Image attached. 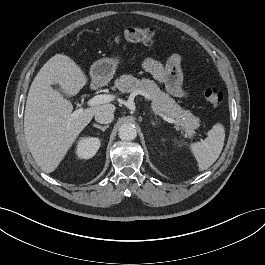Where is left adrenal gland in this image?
I'll list each match as a JSON object with an SVG mask.
<instances>
[{
  "label": "left adrenal gland",
  "instance_id": "obj_1",
  "mask_svg": "<svg viewBox=\"0 0 265 265\" xmlns=\"http://www.w3.org/2000/svg\"><path fill=\"white\" fill-rule=\"evenodd\" d=\"M151 123H152V125H153V126H155V125H156V124H155V122H154L153 120H151Z\"/></svg>",
  "mask_w": 265,
  "mask_h": 265
}]
</instances>
